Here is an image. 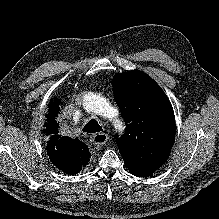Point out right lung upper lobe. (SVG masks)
Wrapping results in <instances>:
<instances>
[{
  "label": "right lung upper lobe",
  "instance_id": "obj_1",
  "mask_svg": "<svg viewBox=\"0 0 219 219\" xmlns=\"http://www.w3.org/2000/svg\"><path fill=\"white\" fill-rule=\"evenodd\" d=\"M60 101L58 98L51 100L46 115L45 129L43 132L50 136L46 149L51 162L66 174H76L87 165L91 154L88 147L78 139L58 134L59 124L56 121L59 113Z\"/></svg>",
  "mask_w": 219,
  "mask_h": 219
}]
</instances>
